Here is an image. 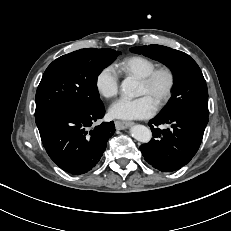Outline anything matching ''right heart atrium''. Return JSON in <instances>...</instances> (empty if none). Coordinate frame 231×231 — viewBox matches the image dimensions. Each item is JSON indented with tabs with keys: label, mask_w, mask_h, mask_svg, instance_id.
<instances>
[{
	"label": "right heart atrium",
	"mask_w": 231,
	"mask_h": 231,
	"mask_svg": "<svg viewBox=\"0 0 231 231\" xmlns=\"http://www.w3.org/2000/svg\"><path fill=\"white\" fill-rule=\"evenodd\" d=\"M95 87L104 98L110 99L117 95L119 90V74L111 66L103 67L96 75Z\"/></svg>",
	"instance_id": "right-heart-atrium-1"
}]
</instances>
